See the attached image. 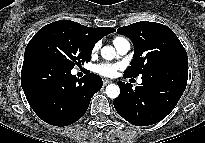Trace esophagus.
I'll use <instances>...</instances> for the list:
<instances>
[{"label":"esophagus","mask_w":205,"mask_h":143,"mask_svg":"<svg viewBox=\"0 0 205 143\" xmlns=\"http://www.w3.org/2000/svg\"><path fill=\"white\" fill-rule=\"evenodd\" d=\"M111 83V80L103 79V85L106 86Z\"/></svg>","instance_id":"esophagus-1"}]
</instances>
